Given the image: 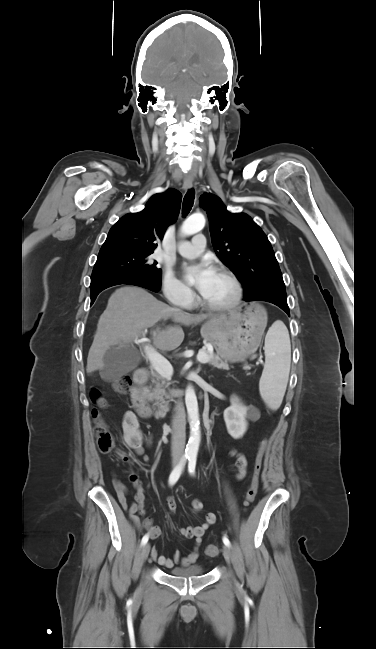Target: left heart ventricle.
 <instances>
[{
	"mask_svg": "<svg viewBox=\"0 0 376 649\" xmlns=\"http://www.w3.org/2000/svg\"><path fill=\"white\" fill-rule=\"evenodd\" d=\"M234 294V287L229 278L219 272L210 282L208 288L202 294L205 300L211 304L220 305L228 302Z\"/></svg>",
	"mask_w": 376,
	"mask_h": 649,
	"instance_id": "1",
	"label": "left heart ventricle"
}]
</instances>
